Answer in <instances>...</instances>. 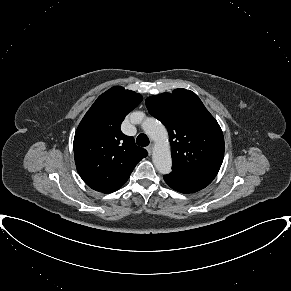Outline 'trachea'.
Instances as JSON below:
<instances>
[{"instance_id": "trachea-1", "label": "trachea", "mask_w": 291, "mask_h": 291, "mask_svg": "<svg viewBox=\"0 0 291 291\" xmlns=\"http://www.w3.org/2000/svg\"><path fill=\"white\" fill-rule=\"evenodd\" d=\"M136 143L141 147L149 145V139L146 134H139L136 139Z\"/></svg>"}]
</instances>
